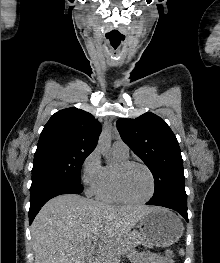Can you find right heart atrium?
<instances>
[{
  "instance_id": "right-heart-atrium-1",
  "label": "right heart atrium",
  "mask_w": 220,
  "mask_h": 263,
  "mask_svg": "<svg viewBox=\"0 0 220 263\" xmlns=\"http://www.w3.org/2000/svg\"><path fill=\"white\" fill-rule=\"evenodd\" d=\"M103 166L101 165L98 149H94L83 161L81 166V180L90 195L95 194L101 181Z\"/></svg>"
}]
</instances>
